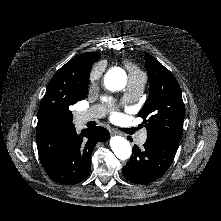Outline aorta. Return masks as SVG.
<instances>
[{
    "label": "aorta",
    "mask_w": 221,
    "mask_h": 221,
    "mask_svg": "<svg viewBox=\"0 0 221 221\" xmlns=\"http://www.w3.org/2000/svg\"><path fill=\"white\" fill-rule=\"evenodd\" d=\"M126 83V74L123 70L111 69L104 77V85L110 91H117L124 87ZM110 146L114 154L120 160L130 158L132 148L127 139L121 136H114L110 140Z\"/></svg>",
    "instance_id": "1"
}]
</instances>
